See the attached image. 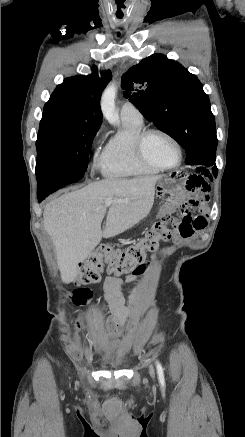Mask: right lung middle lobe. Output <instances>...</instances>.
Returning a JSON list of instances; mask_svg holds the SVG:
<instances>
[{"label": "right lung middle lobe", "instance_id": "right-lung-middle-lobe-1", "mask_svg": "<svg viewBox=\"0 0 245 437\" xmlns=\"http://www.w3.org/2000/svg\"><path fill=\"white\" fill-rule=\"evenodd\" d=\"M100 123L57 110H44L36 147V177L48 173L84 175Z\"/></svg>", "mask_w": 245, "mask_h": 437}]
</instances>
